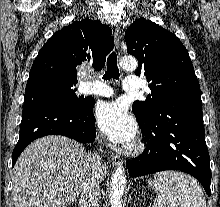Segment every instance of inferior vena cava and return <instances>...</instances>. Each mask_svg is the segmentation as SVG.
Returning a JSON list of instances; mask_svg holds the SVG:
<instances>
[{
  "instance_id": "inferior-vena-cava-1",
  "label": "inferior vena cava",
  "mask_w": 220,
  "mask_h": 207,
  "mask_svg": "<svg viewBox=\"0 0 220 207\" xmlns=\"http://www.w3.org/2000/svg\"><path fill=\"white\" fill-rule=\"evenodd\" d=\"M100 146L97 153L89 156V170L81 183V195L79 200L80 207H99L98 198L100 195V172L103 168L102 156L103 152L102 139L97 138Z\"/></svg>"
}]
</instances>
